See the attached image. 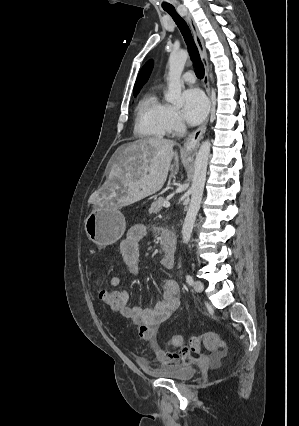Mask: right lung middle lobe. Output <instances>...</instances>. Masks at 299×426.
Masks as SVG:
<instances>
[{
  "label": "right lung middle lobe",
  "mask_w": 299,
  "mask_h": 426,
  "mask_svg": "<svg viewBox=\"0 0 299 426\" xmlns=\"http://www.w3.org/2000/svg\"><path fill=\"white\" fill-rule=\"evenodd\" d=\"M138 93H139V91L133 92V94H134L135 97L137 96Z\"/></svg>",
  "instance_id": "dd1d6c3e"
}]
</instances>
